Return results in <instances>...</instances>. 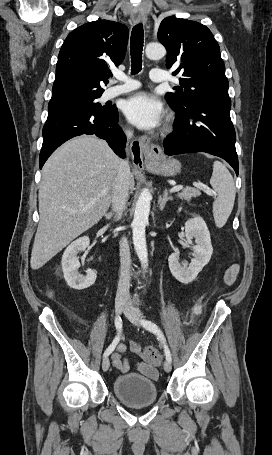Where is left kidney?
<instances>
[{"label":"left kidney","mask_w":272,"mask_h":455,"mask_svg":"<svg viewBox=\"0 0 272 455\" xmlns=\"http://www.w3.org/2000/svg\"><path fill=\"white\" fill-rule=\"evenodd\" d=\"M186 243L183 246H193V256L190 264L179 262L177 253H172L169 258V268L172 275L181 283L188 284L192 282L210 261L213 253L210 233L202 217L196 216L185 223ZM195 239V245L192 243Z\"/></svg>","instance_id":"obj_1"}]
</instances>
